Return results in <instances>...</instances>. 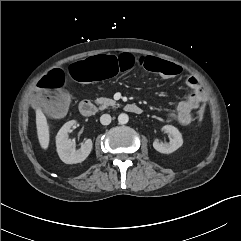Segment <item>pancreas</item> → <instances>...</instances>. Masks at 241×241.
Masks as SVG:
<instances>
[{
	"instance_id": "cf45deb5",
	"label": "pancreas",
	"mask_w": 241,
	"mask_h": 241,
	"mask_svg": "<svg viewBox=\"0 0 241 241\" xmlns=\"http://www.w3.org/2000/svg\"><path fill=\"white\" fill-rule=\"evenodd\" d=\"M95 103L99 105V109H106L108 106H115L116 102L109 98L100 97L95 99Z\"/></svg>"
}]
</instances>
